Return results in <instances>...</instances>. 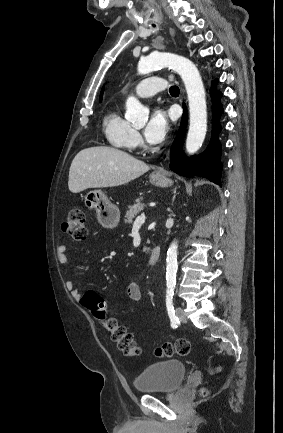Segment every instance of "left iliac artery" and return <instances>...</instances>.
I'll return each mask as SVG.
<instances>
[{
	"mask_svg": "<svg viewBox=\"0 0 283 433\" xmlns=\"http://www.w3.org/2000/svg\"><path fill=\"white\" fill-rule=\"evenodd\" d=\"M173 296H174V288L168 287L167 294H166V307H167L169 318L171 320L172 327H174L175 323H179V319L175 315V310L173 306Z\"/></svg>",
	"mask_w": 283,
	"mask_h": 433,
	"instance_id": "left-iliac-artery-1",
	"label": "left iliac artery"
}]
</instances>
